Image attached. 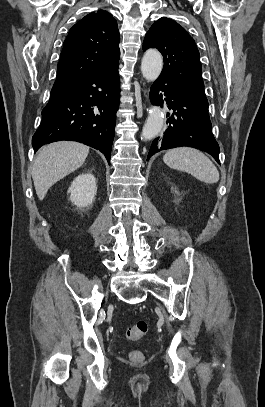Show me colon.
I'll return each mask as SVG.
<instances>
[{
	"mask_svg": "<svg viewBox=\"0 0 265 407\" xmlns=\"http://www.w3.org/2000/svg\"><path fill=\"white\" fill-rule=\"evenodd\" d=\"M148 330V323L144 320L137 321L135 324L129 326L126 330V336L130 340L142 339ZM130 360L134 362L143 361V353L139 350H134L129 353Z\"/></svg>",
	"mask_w": 265,
	"mask_h": 407,
	"instance_id": "1",
	"label": "colon"
}]
</instances>
